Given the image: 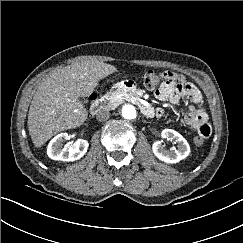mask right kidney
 Instances as JSON below:
<instances>
[{
    "label": "right kidney",
    "instance_id": "right-kidney-1",
    "mask_svg": "<svg viewBox=\"0 0 243 243\" xmlns=\"http://www.w3.org/2000/svg\"><path fill=\"white\" fill-rule=\"evenodd\" d=\"M68 139L67 133L56 135L48 144L47 155L53 160L75 161L82 158L88 150L89 143L86 140L78 139L62 148V143Z\"/></svg>",
    "mask_w": 243,
    "mask_h": 243
}]
</instances>
